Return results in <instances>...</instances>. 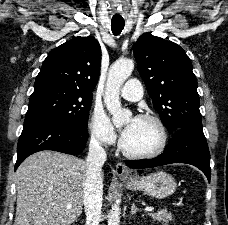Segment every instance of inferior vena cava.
Returning a JSON list of instances; mask_svg holds the SVG:
<instances>
[{"mask_svg":"<svg viewBox=\"0 0 228 225\" xmlns=\"http://www.w3.org/2000/svg\"><path fill=\"white\" fill-rule=\"evenodd\" d=\"M106 161V151L96 137H92L86 159L87 173L84 187V211L86 225H99L101 219L103 179L102 167Z\"/></svg>","mask_w":228,"mask_h":225,"instance_id":"602c4592","label":"inferior vena cava"}]
</instances>
